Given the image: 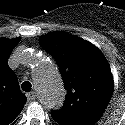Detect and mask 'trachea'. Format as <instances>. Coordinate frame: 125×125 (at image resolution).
<instances>
[{"mask_svg": "<svg viewBox=\"0 0 125 125\" xmlns=\"http://www.w3.org/2000/svg\"><path fill=\"white\" fill-rule=\"evenodd\" d=\"M22 90L25 92H29L32 89V84L29 81H25L21 84Z\"/></svg>", "mask_w": 125, "mask_h": 125, "instance_id": "trachea-1", "label": "trachea"}]
</instances>
